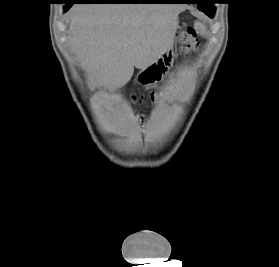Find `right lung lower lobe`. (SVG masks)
<instances>
[{
  "mask_svg": "<svg viewBox=\"0 0 279 267\" xmlns=\"http://www.w3.org/2000/svg\"><path fill=\"white\" fill-rule=\"evenodd\" d=\"M163 3L165 1L162 0H136L133 2H126V1H121V0H69L67 2V5L65 6V11L69 10V8L74 4V3Z\"/></svg>",
  "mask_w": 279,
  "mask_h": 267,
  "instance_id": "98d812e1",
  "label": "right lung lower lobe"
}]
</instances>
